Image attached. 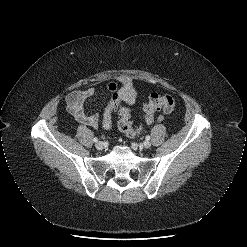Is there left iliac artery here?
<instances>
[{
	"mask_svg": "<svg viewBox=\"0 0 247 247\" xmlns=\"http://www.w3.org/2000/svg\"><path fill=\"white\" fill-rule=\"evenodd\" d=\"M150 138H151V137H150L149 135L146 136V140H147V141L150 140Z\"/></svg>",
	"mask_w": 247,
	"mask_h": 247,
	"instance_id": "44dca946",
	"label": "left iliac artery"
}]
</instances>
